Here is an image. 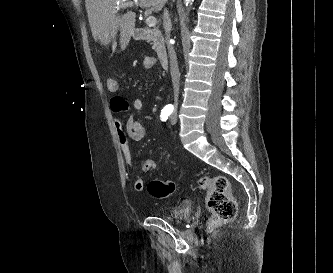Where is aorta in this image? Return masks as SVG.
<instances>
[{"mask_svg":"<svg viewBox=\"0 0 333 273\" xmlns=\"http://www.w3.org/2000/svg\"><path fill=\"white\" fill-rule=\"evenodd\" d=\"M191 1H193V0H185L186 5H188V3L191 2Z\"/></svg>","mask_w":333,"mask_h":273,"instance_id":"762f6f07","label":"aorta"}]
</instances>
